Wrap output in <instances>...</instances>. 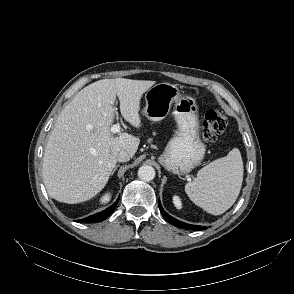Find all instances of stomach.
Returning <instances> with one entry per match:
<instances>
[{
	"mask_svg": "<svg viewBox=\"0 0 294 294\" xmlns=\"http://www.w3.org/2000/svg\"><path fill=\"white\" fill-rule=\"evenodd\" d=\"M145 101L142 112L151 121L164 119L174 104L177 131L159 161L174 174L189 173L201 163L205 154V145L199 137L198 106L195 99L182 96L176 85L164 82L149 88Z\"/></svg>",
	"mask_w": 294,
	"mask_h": 294,
	"instance_id": "0dacf381",
	"label": "stomach"
}]
</instances>
